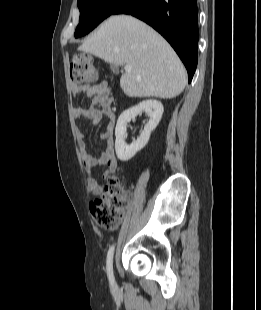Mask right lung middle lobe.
<instances>
[{
	"label": "right lung middle lobe",
	"mask_w": 261,
	"mask_h": 310,
	"mask_svg": "<svg viewBox=\"0 0 261 310\" xmlns=\"http://www.w3.org/2000/svg\"><path fill=\"white\" fill-rule=\"evenodd\" d=\"M127 0H78L80 10L79 25L75 37L83 36L93 30L105 18Z\"/></svg>",
	"instance_id": "obj_1"
}]
</instances>
